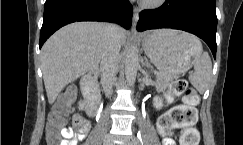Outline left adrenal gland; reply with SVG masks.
<instances>
[{"instance_id": "a2214340", "label": "left adrenal gland", "mask_w": 243, "mask_h": 145, "mask_svg": "<svg viewBox=\"0 0 243 145\" xmlns=\"http://www.w3.org/2000/svg\"><path fill=\"white\" fill-rule=\"evenodd\" d=\"M143 66L149 69V73H152V66L148 63L147 59H145V63L143 64Z\"/></svg>"}]
</instances>
